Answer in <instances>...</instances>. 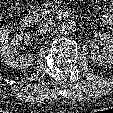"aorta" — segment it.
Listing matches in <instances>:
<instances>
[{
    "instance_id": "762f6f07",
    "label": "aorta",
    "mask_w": 113,
    "mask_h": 113,
    "mask_svg": "<svg viewBox=\"0 0 113 113\" xmlns=\"http://www.w3.org/2000/svg\"><path fill=\"white\" fill-rule=\"evenodd\" d=\"M76 30H77V24L72 19L65 20L61 25V31L65 35H71L75 33Z\"/></svg>"
}]
</instances>
